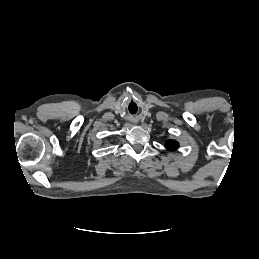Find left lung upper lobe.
Instances as JSON below:
<instances>
[{"instance_id":"left-lung-upper-lobe-1","label":"left lung upper lobe","mask_w":259,"mask_h":259,"mask_svg":"<svg viewBox=\"0 0 259 259\" xmlns=\"http://www.w3.org/2000/svg\"><path fill=\"white\" fill-rule=\"evenodd\" d=\"M165 147L170 151H174L179 147V144L175 140H168L165 143Z\"/></svg>"}]
</instances>
